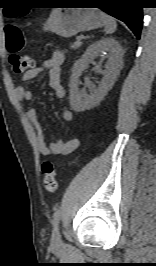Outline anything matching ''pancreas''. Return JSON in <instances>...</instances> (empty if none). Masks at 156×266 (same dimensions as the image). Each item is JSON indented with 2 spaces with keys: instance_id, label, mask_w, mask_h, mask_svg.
Returning <instances> with one entry per match:
<instances>
[{
  "instance_id": "pancreas-1",
  "label": "pancreas",
  "mask_w": 156,
  "mask_h": 266,
  "mask_svg": "<svg viewBox=\"0 0 156 266\" xmlns=\"http://www.w3.org/2000/svg\"><path fill=\"white\" fill-rule=\"evenodd\" d=\"M81 46V42L80 41H76V42H74L73 44H71V48H78V47H80Z\"/></svg>"
}]
</instances>
